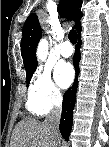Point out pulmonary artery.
Listing matches in <instances>:
<instances>
[{"instance_id":"obj_1","label":"pulmonary artery","mask_w":109,"mask_h":147,"mask_svg":"<svg viewBox=\"0 0 109 147\" xmlns=\"http://www.w3.org/2000/svg\"><path fill=\"white\" fill-rule=\"evenodd\" d=\"M59 52L61 56L68 58L72 55L73 53V47L69 41H64L60 47H59Z\"/></svg>"}]
</instances>
